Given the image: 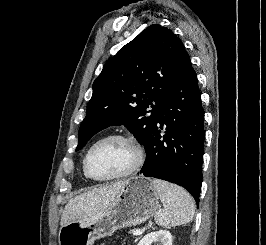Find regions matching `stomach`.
<instances>
[{
  "instance_id": "stomach-1",
  "label": "stomach",
  "mask_w": 266,
  "mask_h": 245,
  "mask_svg": "<svg viewBox=\"0 0 266 245\" xmlns=\"http://www.w3.org/2000/svg\"><path fill=\"white\" fill-rule=\"evenodd\" d=\"M157 209L159 197L151 179L129 177L111 207L94 217L63 225L59 245H93L96 239L111 237L118 229L141 225L151 219Z\"/></svg>"
}]
</instances>
